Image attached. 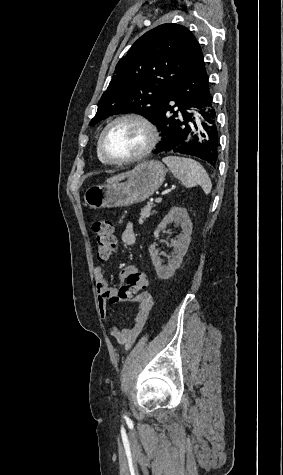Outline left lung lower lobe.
Instances as JSON below:
<instances>
[{
  "label": "left lung lower lobe",
  "instance_id": "obj_1",
  "mask_svg": "<svg viewBox=\"0 0 283 475\" xmlns=\"http://www.w3.org/2000/svg\"><path fill=\"white\" fill-rule=\"evenodd\" d=\"M196 122L203 128L199 136L185 141ZM155 124L162 140L154 154L175 151L195 156L215 165L218 157V129L211 86L204 64L181 77L167 93Z\"/></svg>",
  "mask_w": 283,
  "mask_h": 475
}]
</instances>
